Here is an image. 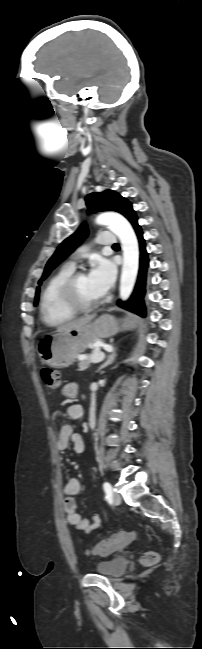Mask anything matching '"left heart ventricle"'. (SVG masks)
Segmentation results:
<instances>
[{"instance_id": "obj_1", "label": "left heart ventricle", "mask_w": 202, "mask_h": 649, "mask_svg": "<svg viewBox=\"0 0 202 649\" xmlns=\"http://www.w3.org/2000/svg\"><path fill=\"white\" fill-rule=\"evenodd\" d=\"M77 291L79 297L84 301H94L101 297L92 288L91 284L88 281L87 275H83L82 277L79 278L77 283Z\"/></svg>"}]
</instances>
